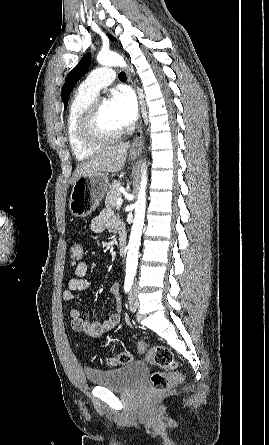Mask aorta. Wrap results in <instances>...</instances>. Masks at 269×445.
Listing matches in <instances>:
<instances>
[{
    "mask_svg": "<svg viewBox=\"0 0 269 445\" xmlns=\"http://www.w3.org/2000/svg\"><path fill=\"white\" fill-rule=\"evenodd\" d=\"M97 62L104 66L127 67L123 57L114 52H100L97 55ZM133 72V69H132ZM146 186H147V167L143 164L142 176L138 199L134 204L135 217L132 225L131 235L127 246L126 275L134 276L138 265V252L141 240L142 229L144 225L146 210Z\"/></svg>",
    "mask_w": 269,
    "mask_h": 445,
    "instance_id": "obj_1",
    "label": "aorta"
}]
</instances>
